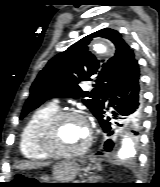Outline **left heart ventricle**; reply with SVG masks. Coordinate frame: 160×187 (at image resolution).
I'll use <instances>...</instances> for the list:
<instances>
[{"label": "left heart ventricle", "mask_w": 160, "mask_h": 187, "mask_svg": "<svg viewBox=\"0 0 160 187\" xmlns=\"http://www.w3.org/2000/svg\"><path fill=\"white\" fill-rule=\"evenodd\" d=\"M87 138L88 131L83 122L70 118L60 124L56 145L63 151L73 152L81 149L86 144Z\"/></svg>", "instance_id": "obj_1"}]
</instances>
